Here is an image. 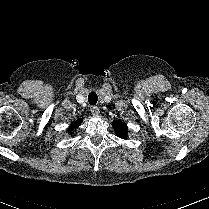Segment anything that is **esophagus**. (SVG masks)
<instances>
[{
  "label": "esophagus",
  "instance_id": "34e87169",
  "mask_svg": "<svg viewBox=\"0 0 209 209\" xmlns=\"http://www.w3.org/2000/svg\"><path fill=\"white\" fill-rule=\"evenodd\" d=\"M90 111H91V113H92L94 116H98L99 113H100L99 108L96 107V106H92V107L90 108Z\"/></svg>",
  "mask_w": 209,
  "mask_h": 209
}]
</instances>
